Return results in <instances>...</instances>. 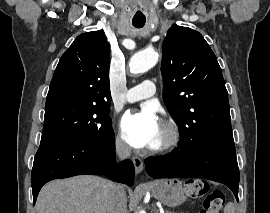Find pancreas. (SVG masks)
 Listing matches in <instances>:
<instances>
[{"mask_svg":"<svg viewBox=\"0 0 270 213\" xmlns=\"http://www.w3.org/2000/svg\"><path fill=\"white\" fill-rule=\"evenodd\" d=\"M166 213H176V212H171V211H169V212H166Z\"/></svg>","mask_w":270,"mask_h":213,"instance_id":"1","label":"pancreas"}]
</instances>
